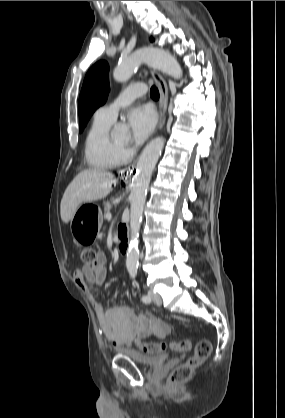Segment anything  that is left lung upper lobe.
Instances as JSON below:
<instances>
[{"mask_svg":"<svg viewBox=\"0 0 285 418\" xmlns=\"http://www.w3.org/2000/svg\"><path fill=\"white\" fill-rule=\"evenodd\" d=\"M151 41H153V38H151ZM108 72V63L99 61L86 74L78 104L80 132L83 131L94 111L103 105L107 99L109 93Z\"/></svg>","mask_w":285,"mask_h":418,"instance_id":"1","label":"left lung upper lobe"}]
</instances>
